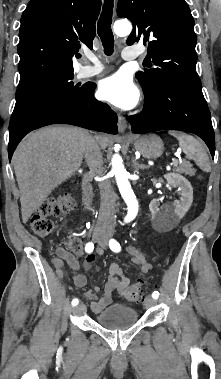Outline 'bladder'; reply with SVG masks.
<instances>
[{
  "instance_id": "31cf9c89",
  "label": "bladder",
  "mask_w": 221,
  "mask_h": 379,
  "mask_svg": "<svg viewBox=\"0 0 221 379\" xmlns=\"http://www.w3.org/2000/svg\"><path fill=\"white\" fill-rule=\"evenodd\" d=\"M95 321L109 330H124L136 324L138 312L130 306L113 304L98 313Z\"/></svg>"
}]
</instances>
